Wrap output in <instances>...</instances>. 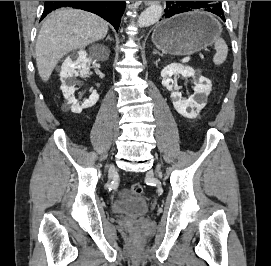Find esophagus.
<instances>
[{
    "label": "esophagus",
    "instance_id": "esophagus-1",
    "mask_svg": "<svg viewBox=\"0 0 271 266\" xmlns=\"http://www.w3.org/2000/svg\"><path fill=\"white\" fill-rule=\"evenodd\" d=\"M146 5H150V4H153V3H156V2H159V1H144Z\"/></svg>",
    "mask_w": 271,
    "mask_h": 266
}]
</instances>
